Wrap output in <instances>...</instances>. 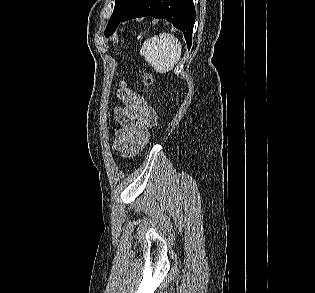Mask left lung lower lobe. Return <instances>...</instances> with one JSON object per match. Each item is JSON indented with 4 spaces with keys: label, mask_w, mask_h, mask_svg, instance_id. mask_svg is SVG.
Segmentation results:
<instances>
[{
    "label": "left lung lower lobe",
    "mask_w": 315,
    "mask_h": 293,
    "mask_svg": "<svg viewBox=\"0 0 315 293\" xmlns=\"http://www.w3.org/2000/svg\"><path fill=\"white\" fill-rule=\"evenodd\" d=\"M144 16L164 18L171 22L184 33L186 43L190 48L195 22V8L192 0H139L120 22Z\"/></svg>",
    "instance_id": "left-lung-lower-lobe-1"
}]
</instances>
